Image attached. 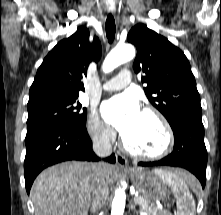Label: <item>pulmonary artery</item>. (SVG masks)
Here are the masks:
<instances>
[{
  "mask_svg": "<svg viewBox=\"0 0 221 215\" xmlns=\"http://www.w3.org/2000/svg\"><path fill=\"white\" fill-rule=\"evenodd\" d=\"M131 80H132V75L130 70L122 69L116 77L107 81L103 85V89L106 91L121 90L125 88L128 84H130Z\"/></svg>",
  "mask_w": 221,
  "mask_h": 215,
  "instance_id": "e3ab8cb5",
  "label": "pulmonary artery"
}]
</instances>
